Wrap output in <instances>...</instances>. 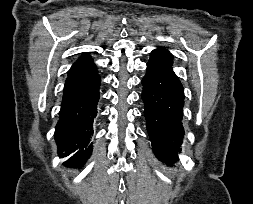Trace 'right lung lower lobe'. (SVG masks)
Segmentation results:
<instances>
[{
	"label": "right lung lower lobe",
	"instance_id": "98d812e1",
	"mask_svg": "<svg viewBox=\"0 0 253 204\" xmlns=\"http://www.w3.org/2000/svg\"><path fill=\"white\" fill-rule=\"evenodd\" d=\"M100 83L97 68L88 54L82 55L68 72L55 131L60 157L70 156L64 163L68 167H81L92 152L89 139L97 115Z\"/></svg>",
	"mask_w": 253,
	"mask_h": 204
}]
</instances>
